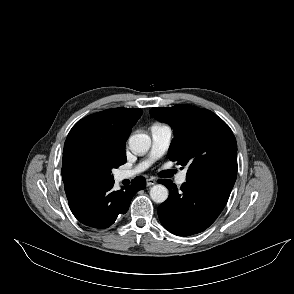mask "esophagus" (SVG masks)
<instances>
[{
	"mask_svg": "<svg viewBox=\"0 0 294 294\" xmlns=\"http://www.w3.org/2000/svg\"><path fill=\"white\" fill-rule=\"evenodd\" d=\"M147 186H152L156 184V180L154 178H148L146 181Z\"/></svg>",
	"mask_w": 294,
	"mask_h": 294,
	"instance_id": "34e87169",
	"label": "esophagus"
}]
</instances>
